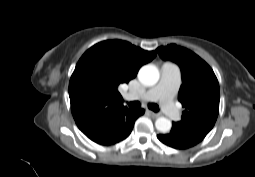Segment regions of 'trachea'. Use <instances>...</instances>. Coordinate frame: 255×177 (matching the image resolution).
<instances>
[{"label": "trachea", "mask_w": 255, "mask_h": 177, "mask_svg": "<svg viewBox=\"0 0 255 177\" xmlns=\"http://www.w3.org/2000/svg\"><path fill=\"white\" fill-rule=\"evenodd\" d=\"M128 105H129L130 108H138V107H140V102L139 101H133V102H129ZM148 108L153 110L154 112L159 111V107L154 103L148 104Z\"/></svg>", "instance_id": "1"}]
</instances>
